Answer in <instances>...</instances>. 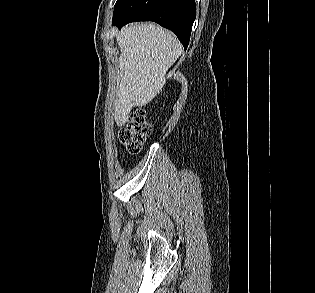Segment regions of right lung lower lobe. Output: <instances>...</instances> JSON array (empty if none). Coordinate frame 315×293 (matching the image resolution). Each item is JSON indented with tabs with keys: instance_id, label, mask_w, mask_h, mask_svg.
<instances>
[{
	"instance_id": "obj_1",
	"label": "right lung lower lobe",
	"mask_w": 315,
	"mask_h": 293,
	"mask_svg": "<svg viewBox=\"0 0 315 293\" xmlns=\"http://www.w3.org/2000/svg\"><path fill=\"white\" fill-rule=\"evenodd\" d=\"M196 18L195 0H117L113 24L154 21L173 31L187 48Z\"/></svg>"
}]
</instances>
